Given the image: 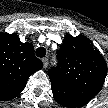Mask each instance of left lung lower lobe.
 Listing matches in <instances>:
<instances>
[{
  "mask_svg": "<svg viewBox=\"0 0 108 108\" xmlns=\"http://www.w3.org/2000/svg\"><path fill=\"white\" fill-rule=\"evenodd\" d=\"M54 99L62 106L80 107L88 103L100 90L71 85L61 81H51Z\"/></svg>",
  "mask_w": 108,
  "mask_h": 108,
  "instance_id": "left-lung-lower-lobe-1",
  "label": "left lung lower lobe"
}]
</instances>
